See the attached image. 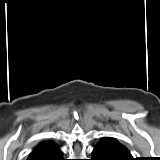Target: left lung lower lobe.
Segmentation results:
<instances>
[{
	"instance_id": "0a47b994",
	"label": "left lung lower lobe",
	"mask_w": 160,
	"mask_h": 160,
	"mask_svg": "<svg viewBox=\"0 0 160 160\" xmlns=\"http://www.w3.org/2000/svg\"><path fill=\"white\" fill-rule=\"evenodd\" d=\"M91 160H134V158L115 138L104 137L94 147Z\"/></svg>"
}]
</instances>
